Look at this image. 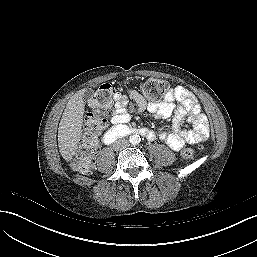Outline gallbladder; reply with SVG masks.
Listing matches in <instances>:
<instances>
[{"instance_id":"bac80fb5","label":"gallbladder","mask_w":257,"mask_h":257,"mask_svg":"<svg viewBox=\"0 0 257 257\" xmlns=\"http://www.w3.org/2000/svg\"><path fill=\"white\" fill-rule=\"evenodd\" d=\"M93 95V92L91 90H86L83 95L84 100H89Z\"/></svg>"}]
</instances>
